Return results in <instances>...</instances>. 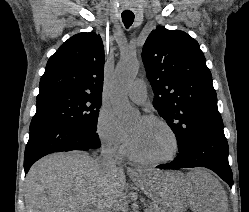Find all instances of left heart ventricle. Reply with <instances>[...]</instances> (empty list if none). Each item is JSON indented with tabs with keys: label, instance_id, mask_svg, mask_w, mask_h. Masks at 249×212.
I'll return each instance as SVG.
<instances>
[{
	"label": "left heart ventricle",
	"instance_id": "b2bd125f",
	"mask_svg": "<svg viewBox=\"0 0 249 212\" xmlns=\"http://www.w3.org/2000/svg\"><path fill=\"white\" fill-rule=\"evenodd\" d=\"M127 132L133 151L144 159H164L174 151L171 134L157 122H148L140 117L132 122Z\"/></svg>",
	"mask_w": 249,
	"mask_h": 212
}]
</instances>
